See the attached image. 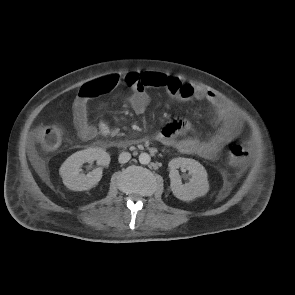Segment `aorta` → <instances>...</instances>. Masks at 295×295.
<instances>
[{
    "label": "aorta",
    "mask_w": 295,
    "mask_h": 295,
    "mask_svg": "<svg viewBox=\"0 0 295 295\" xmlns=\"http://www.w3.org/2000/svg\"><path fill=\"white\" fill-rule=\"evenodd\" d=\"M151 161V157L148 153H141L139 155V162L143 165H147L148 163H150Z\"/></svg>",
    "instance_id": "1"
}]
</instances>
